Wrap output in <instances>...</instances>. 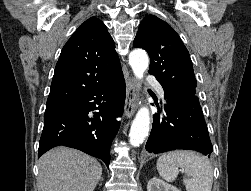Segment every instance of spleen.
<instances>
[{
  "instance_id": "1",
  "label": "spleen",
  "mask_w": 251,
  "mask_h": 191,
  "mask_svg": "<svg viewBox=\"0 0 251 191\" xmlns=\"http://www.w3.org/2000/svg\"><path fill=\"white\" fill-rule=\"evenodd\" d=\"M157 169L166 181H174L178 175V167L185 169L183 183L187 191H211L213 183V167L201 153L191 149H175L166 151L157 159Z\"/></svg>"
}]
</instances>
